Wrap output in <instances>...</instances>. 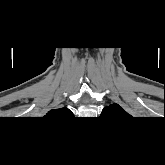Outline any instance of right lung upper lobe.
<instances>
[{"label": "right lung upper lobe", "mask_w": 165, "mask_h": 165, "mask_svg": "<svg viewBox=\"0 0 165 165\" xmlns=\"http://www.w3.org/2000/svg\"><path fill=\"white\" fill-rule=\"evenodd\" d=\"M73 115L72 112L66 107L50 110L45 117L47 118H61L65 116Z\"/></svg>", "instance_id": "1"}]
</instances>
